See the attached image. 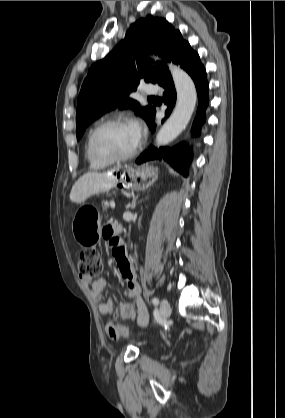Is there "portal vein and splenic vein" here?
Here are the masks:
<instances>
[{"label":"portal vein and splenic vein","mask_w":285,"mask_h":418,"mask_svg":"<svg viewBox=\"0 0 285 418\" xmlns=\"http://www.w3.org/2000/svg\"><path fill=\"white\" fill-rule=\"evenodd\" d=\"M110 205L113 209L115 208V202L114 201H111Z\"/></svg>","instance_id":"18ae733b"}]
</instances>
